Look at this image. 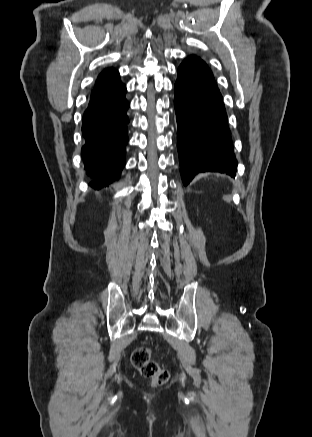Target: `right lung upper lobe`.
I'll return each mask as SVG.
<instances>
[{
    "label": "right lung upper lobe",
    "mask_w": 312,
    "mask_h": 437,
    "mask_svg": "<svg viewBox=\"0 0 312 437\" xmlns=\"http://www.w3.org/2000/svg\"><path fill=\"white\" fill-rule=\"evenodd\" d=\"M116 75H118V73H115L114 70L112 68L109 69H105L98 77L96 84H95V88L107 83L108 81H110L113 77H115Z\"/></svg>",
    "instance_id": "cb5924a9"
}]
</instances>
